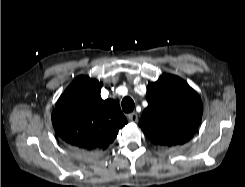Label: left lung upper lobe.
<instances>
[{
  "label": "left lung upper lobe",
  "instance_id": "5c2ea615",
  "mask_svg": "<svg viewBox=\"0 0 245 187\" xmlns=\"http://www.w3.org/2000/svg\"><path fill=\"white\" fill-rule=\"evenodd\" d=\"M148 107L139 126L156 145L175 146L189 141L202 118L199 95L184 80L163 75L147 86Z\"/></svg>",
  "mask_w": 245,
  "mask_h": 187
}]
</instances>
